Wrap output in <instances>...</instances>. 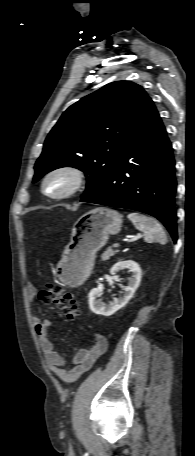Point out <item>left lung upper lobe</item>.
Masks as SVG:
<instances>
[{
  "instance_id": "5c2ea615",
  "label": "left lung upper lobe",
  "mask_w": 195,
  "mask_h": 456,
  "mask_svg": "<svg viewBox=\"0 0 195 456\" xmlns=\"http://www.w3.org/2000/svg\"><path fill=\"white\" fill-rule=\"evenodd\" d=\"M153 106L144 89L116 81L71 105L48 134L35 163L33 182L61 167L87 177L83 198L95 193L111 173L131 132Z\"/></svg>"
}]
</instances>
